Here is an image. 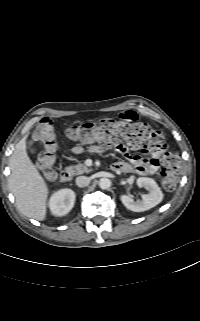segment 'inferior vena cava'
Returning a JSON list of instances; mask_svg holds the SVG:
<instances>
[{"label": "inferior vena cava", "instance_id": "inferior-vena-cava-1", "mask_svg": "<svg viewBox=\"0 0 200 321\" xmlns=\"http://www.w3.org/2000/svg\"><path fill=\"white\" fill-rule=\"evenodd\" d=\"M90 183V178L87 176H79L76 178V185L78 187H86Z\"/></svg>", "mask_w": 200, "mask_h": 321}]
</instances>
